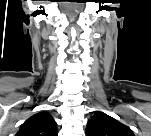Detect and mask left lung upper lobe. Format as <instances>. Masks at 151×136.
Masks as SVG:
<instances>
[{"label":"left lung upper lobe","instance_id":"left-lung-upper-lobe-1","mask_svg":"<svg viewBox=\"0 0 151 136\" xmlns=\"http://www.w3.org/2000/svg\"><path fill=\"white\" fill-rule=\"evenodd\" d=\"M87 136H134L132 130L105 114L98 113L87 123Z\"/></svg>","mask_w":151,"mask_h":136}]
</instances>
